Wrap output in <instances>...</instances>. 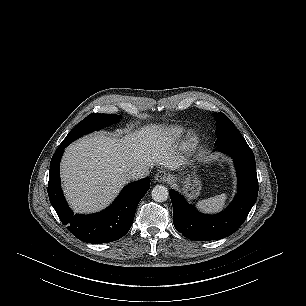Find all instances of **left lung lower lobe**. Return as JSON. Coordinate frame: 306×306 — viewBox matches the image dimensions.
Returning a JSON list of instances; mask_svg holds the SVG:
<instances>
[{
	"instance_id": "obj_1",
	"label": "left lung lower lobe",
	"mask_w": 306,
	"mask_h": 306,
	"mask_svg": "<svg viewBox=\"0 0 306 306\" xmlns=\"http://www.w3.org/2000/svg\"><path fill=\"white\" fill-rule=\"evenodd\" d=\"M231 156L237 170L238 192L221 213L204 215L176 191H170L173 223L177 231L191 240H218L233 234L245 221L258 196L255 157L246 142L225 143L216 147Z\"/></svg>"
}]
</instances>
